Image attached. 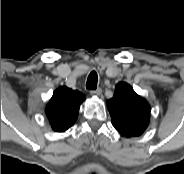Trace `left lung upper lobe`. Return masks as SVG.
I'll return each instance as SVG.
<instances>
[{
	"instance_id": "obj_1",
	"label": "left lung upper lobe",
	"mask_w": 184,
	"mask_h": 174,
	"mask_svg": "<svg viewBox=\"0 0 184 174\" xmlns=\"http://www.w3.org/2000/svg\"><path fill=\"white\" fill-rule=\"evenodd\" d=\"M112 124L123 136H140L148 127L150 106L126 82H119L107 102Z\"/></svg>"
}]
</instances>
